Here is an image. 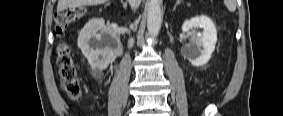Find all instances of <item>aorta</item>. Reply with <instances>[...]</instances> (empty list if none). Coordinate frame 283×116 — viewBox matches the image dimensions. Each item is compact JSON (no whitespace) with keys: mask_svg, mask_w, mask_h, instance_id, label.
I'll list each match as a JSON object with an SVG mask.
<instances>
[{"mask_svg":"<svg viewBox=\"0 0 283 116\" xmlns=\"http://www.w3.org/2000/svg\"><path fill=\"white\" fill-rule=\"evenodd\" d=\"M162 23L160 0H148L147 29L151 37L156 38Z\"/></svg>","mask_w":283,"mask_h":116,"instance_id":"762f6f07","label":"aorta"}]
</instances>
